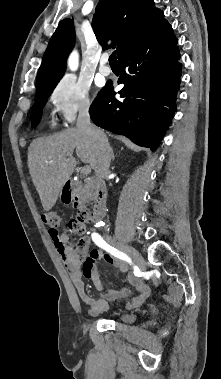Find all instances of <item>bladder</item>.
I'll return each instance as SVG.
<instances>
[{
  "mask_svg": "<svg viewBox=\"0 0 221 379\" xmlns=\"http://www.w3.org/2000/svg\"><path fill=\"white\" fill-rule=\"evenodd\" d=\"M134 318L135 316L131 313H122L117 316V320L123 323H130Z\"/></svg>",
  "mask_w": 221,
  "mask_h": 379,
  "instance_id": "bladder-1",
  "label": "bladder"
}]
</instances>
